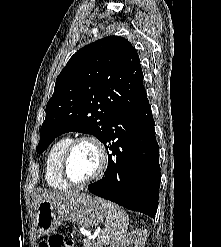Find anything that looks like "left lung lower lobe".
<instances>
[{"label": "left lung lower lobe", "mask_w": 221, "mask_h": 247, "mask_svg": "<svg viewBox=\"0 0 221 247\" xmlns=\"http://www.w3.org/2000/svg\"><path fill=\"white\" fill-rule=\"evenodd\" d=\"M154 125L148 101L123 110L110 121L103 143L112 153L102 179L88 186L91 193L155 217L160 165Z\"/></svg>", "instance_id": "left-lung-lower-lobe-1"}]
</instances>
